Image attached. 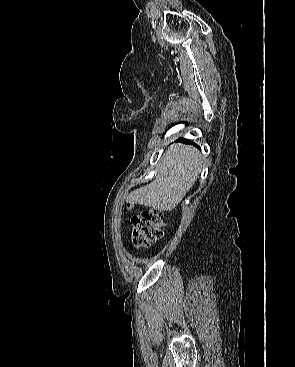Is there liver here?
I'll return each instance as SVG.
<instances>
[{
	"instance_id": "obj_1",
	"label": "liver",
	"mask_w": 295,
	"mask_h": 367,
	"mask_svg": "<svg viewBox=\"0 0 295 367\" xmlns=\"http://www.w3.org/2000/svg\"><path fill=\"white\" fill-rule=\"evenodd\" d=\"M203 162V156L194 147L183 144L171 146L164 154L153 182L132 191L128 202L171 211L197 180Z\"/></svg>"
}]
</instances>
